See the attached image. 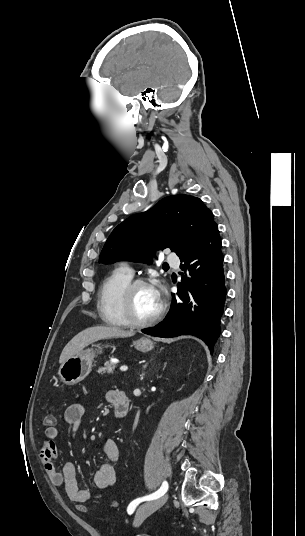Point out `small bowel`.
Returning a JSON list of instances; mask_svg holds the SVG:
<instances>
[{
  "mask_svg": "<svg viewBox=\"0 0 305 536\" xmlns=\"http://www.w3.org/2000/svg\"><path fill=\"white\" fill-rule=\"evenodd\" d=\"M115 391L106 393V400L112 403ZM86 416V408L81 403L70 405L64 413L67 423L71 424L76 430ZM46 439L40 448V458L44 470L54 486H63L67 497L73 500H88L90 492L87 489L79 487L76 478V464L72 461L66 462L61 470L55 464V458L58 454V429L54 426L46 428ZM100 450L108 460L102 463L94 474V484L99 489H106L114 485L117 478L115 463L120 458V451L116 442L111 438H106L100 443Z\"/></svg>",
  "mask_w": 305,
  "mask_h": 536,
  "instance_id": "1",
  "label": "small bowel"
}]
</instances>
